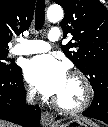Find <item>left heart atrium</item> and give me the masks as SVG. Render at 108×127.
<instances>
[{
    "label": "left heart atrium",
    "instance_id": "39dd6f15",
    "mask_svg": "<svg viewBox=\"0 0 108 127\" xmlns=\"http://www.w3.org/2000/svg\"><path fill=\"white\" fill-rule=\"evenodd\" d=\"M25 76L39 91L49 96L57 95L67 79L65 66L49 55L31 59L26 65Z\"/></svg>",
    "mask_w": 108,
    "mask_h": 127
}]
</instances>
